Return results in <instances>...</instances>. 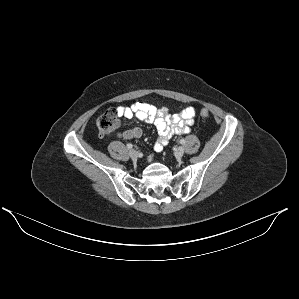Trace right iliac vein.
<instances>
[{
    "label": "right iliac vein",
    "instance_id": "right-iliac-vein-1",
    "mask_svg": "<svg viewBox=\"0 0 299 299\" xmlns=\"http://www.w3.org/2000/svg\"><path fill=\"white\" fill-rule=\"evenodd\" d=\"M129 156L132 159H137L138 158V152L136 150L132 149V150L129 151Z\"/></svg>",
    "mask_w": 299,
    "mask_h": 299
}]
</instances>
